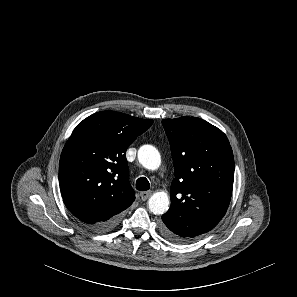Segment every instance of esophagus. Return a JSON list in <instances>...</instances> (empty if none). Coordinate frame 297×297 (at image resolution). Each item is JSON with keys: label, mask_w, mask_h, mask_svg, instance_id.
I'll list each match as a JSON object with an SVG mask.
<instances>
[{"label": "esophagus", "mask_w": 297, "mask_h": 297, "mask_svg": "<svg viewBox=\"0 0 297 297\" xmlns=\"http://www.w3.org/2000/svg\"><path fill=\"white\" fill-rule=\"evenodd\" d=\"M152 192L151 191H145L140 193V198L141 200L145 201L151 196Z\"/></svg>", "instance_id": "obj_1"}]
</instances>
